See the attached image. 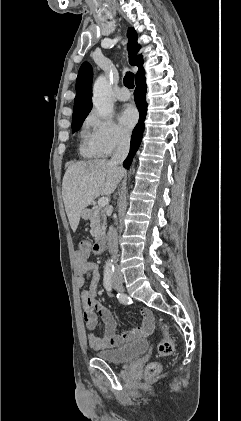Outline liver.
<instances>
[{"label": "liver", "instance_id": "6515ba94", "mask_svg": "<svg viewBox=\"0 0 241 421\" xmlns=\"http://www.w3.org/2000/svg\"><path fill=\"white\" fill-rule=\"evenodd\" d=\"M125 170L110 161L95 159L70 165L63 177L62 197L73 232L77 230L81 213L95 198L112 194Z\"/></svg>", "mask_w": 241, "mask_h": 421}]
</instances>
